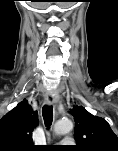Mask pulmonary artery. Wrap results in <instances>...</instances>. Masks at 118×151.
<instances>
[{"label": "pulmonary artery", "mask_w": 118, "mask_h": 151, "mask_svg": "<svg viewBox=\"0 0 118 151\" xmlns=\"http://www.w3.org/2000/svg\"><path fill=\"white\" fill-rule=\"evenodd\" d=\"M73 140L71 138H65L62 140V144H72Z\"/></svg>", "instance_id": "pulmonary-artery-1"}]
</instances>
